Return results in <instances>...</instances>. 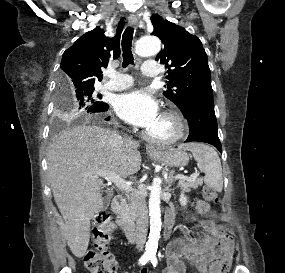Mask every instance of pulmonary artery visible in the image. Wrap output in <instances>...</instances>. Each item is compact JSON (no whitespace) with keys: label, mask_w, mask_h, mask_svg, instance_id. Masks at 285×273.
<instances>
[{"label":"pulmonary artery","mask_w":285,"mask_h":273,"mask_svg":"<svg viewBox=\"0 0 285 273\" xmlns=\"http://www.w3.org/2000/svg\"><path fill=\"white\" fill-rule=\"evenodd\" d=\"M141 71L149 77H156L160 74L156 61H146L143 63ZM108 81L103 84V88L110 91L124 90L133 85V79L128 74H123L114 69L107 70Z\"/></svg>","instance_id":"obj_1"}]
</instances>
